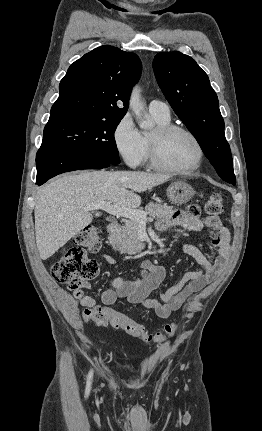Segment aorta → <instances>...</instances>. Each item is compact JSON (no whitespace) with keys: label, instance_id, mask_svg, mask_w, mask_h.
Masks as SVG:
<instances>
[{"label":"aorta","instance_id":"obj_1","mask_svg":"<svg viewBox=\"0 0 262 431\" xmlns=\"http://www.w3.org/2000/svg\"><path fill=\"white\" fill-rule=\"evenodd\" d=\"M141 90L138 86H135L131 92L129 106L136 115V119L140 128L150 129L153 126L152 121L145 120L142 118V113L144 111V104L141 101Z\"/></svg>","mask_w":262,"mask_h":431}]
</instances>
